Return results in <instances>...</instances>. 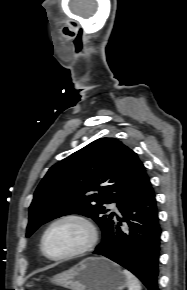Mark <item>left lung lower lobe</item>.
Here are the masks:
<instances>
[{"instance_id":"obj_1","label":"left lung lower lobe","mask_w":187,"mask_h":290,"mask_svg":"<svg viewBox=\"0 0 187 290\" xmlns=\"http://www.w3.org/2000/svg\"><path fill=\"white\" fill-rule=\"evenodd\" d=\"M117 217L94 254L103 255L136 275L148 290L158 288L161 228L155 194L145 176L119 203ZM127 230H122V222Z\"/></svg>"}]
</instances>
